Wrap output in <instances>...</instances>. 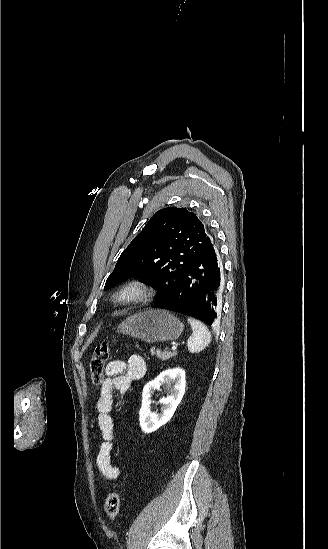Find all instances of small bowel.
Masks as SVG:
<instances>
[{
  "mask_svg": "<svg viewBox=\"0 0 328 549\" xmlns=\"http://www.w3.org/2000/svg\"><path fill=\"white\" fill-rule=\"evenodd\" d=\"M145 373V360L136 354L131 355L126 361L115 359L106 365V379L102 384L96 402L97 424L102 438L96 457V465L101 475L107 480H116L120 475L119 468L111 461L114 432V423L111 416L113 392L126 394L132 382L143 378Z\"/></svg>",
  "mask_w": 328,
  "mask_h": 549,
  "instance_id": "1",
  "label": "small bowel"
}]
</instances>
